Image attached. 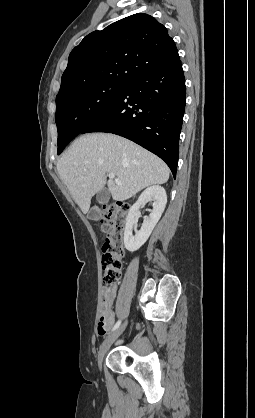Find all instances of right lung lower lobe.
Here are the masks:
<instances>
[{"label":"right lung lower lobe","mask_w":255,"mask_h":418,"mask_svg":"<svg viewBox=\"0 0 255 418\" xmlns=\"http://www.w3.org/2000/svg\"><path fill=\"white\" fill-rule=\"evenodd\" d=\"M185 79L180 59L136 77L82 132H107L134 141L163 159L175 178Z\"/></svg>","instance_id":"1"}]
</instances>
